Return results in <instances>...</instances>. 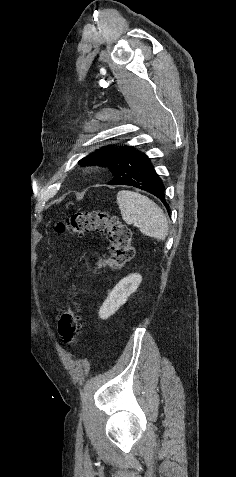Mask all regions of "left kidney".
Returning <instances> with one entry per match:
<instances>
[{
    "label": "left kidney",
    "mask_w": 236,
    "mask_h": 477,
    "mask_svg": "<svg viewBox=\"0 0 236 477\" xmlns=\"http://www.w3.org/2000/svg\"><path fill=\"white\" fill-rule=\"evenodd\" d=\"M141 281L142 277L137 273L130 274L119 281L102 304L99 310V317L105 320L113 315L126 303L128 297L137 290Z\"/></svg>",
    "instance_id": "1"
}]
</instances>
